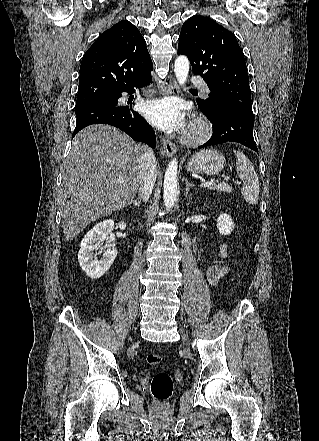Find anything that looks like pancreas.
<instances>
[{
  "label": "pancreas",
  "instance_id": "1",
  "mask_svg": "<svg viewBox=\"0 0 319 441\" xmlns=\"http://www.w3.org/2000/svg\"><path fill=\"white\" fill-rule=\"evenodd\" d=\"M208 189L209 190H216V191H220V192H226V193L232 192V187H230V185H228L225 182H222L220 184L213 183L211 186L208 187Z\"/></svg>",
  "mask_w": 319,
  "mask_h": 441
}]
</instances>
